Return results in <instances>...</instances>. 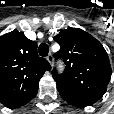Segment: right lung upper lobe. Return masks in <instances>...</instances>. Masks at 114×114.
<instances>
[{
  "label": "right lung upper lobe",
  "instance_id": "right-lung-upper-lobe-1",
  "mask_svg": "<svg viewBox=\"0 0 114 114\" xmlns=\"http://www.w3.org/2000/svg\"><path fill=\"white\" fill-rule=\"evenodd\" d=\"M49 62L37 54V43L17 30L0 37V103L17 108L33 99Z\"/></svg>",
  "mask_w": 114,
  "mask_h": 114
}]
</instances>
